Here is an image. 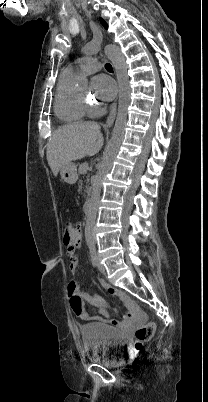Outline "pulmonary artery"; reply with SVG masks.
Listing matches in <instances>:
<instances>
[{
    "instance_id": "obj_1",
    "label": "pulmonary artery",
    "mask_w": 208,
    "mask_h": 402,
    "mask_svg": "<svg viewBox=\"0 0 208 402\" xmlns=\"http://www.w3.org/2000/svg\"><path fill=\"white\" fill-rule=\"evenodd\" d=\"M86 55H91V53L86 51ZM100 65L101 62L99 60H91V58L85 56L69 64L65 71L75 77H81L92 74L94 71H99L101 69Z\"/></svg>"
}]
</instances>
